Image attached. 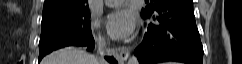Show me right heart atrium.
Here are the masks:
<instances>
[{
  "label": "right heart atrium",
  "mask_w": 242,
  "mask_h": 64,
  "mask_svg": "<svg viewBox=\"0 0 242 64\" xmlns=\"http://www.w3.org/2000/svg\"><path fill=\"white\" fill-rule=\"evenodd\" d=\"M93 26L95 27V28H98L99 27V23L98 22H94L93 23ZM100 39L102 40V37L100 36Z\"/></svg>",
  "instance_id": "1"
}]
</instances>
